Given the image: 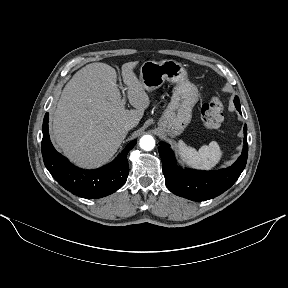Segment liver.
Segmentation results:
<instances>
[{"label": "liver", "instance_id": "6515ba94", "mask_svg": "<svg viewBox=\"0 0 288 288\" xmlns=\"http://www.w3.org/2000/svg\"><path fill=\"white\" fill-rule=\"evenodd\" d=\"M138 61L122 65L129 103L122 104L116 70L96 62L80 69L64 87L52 116L51 135L63 154L84 167H99L117 152L127 135L124 124H138L150 100L133 68Z\"/></svg>", "mask_w": 288, "mask_h": 288}]
</instances>
